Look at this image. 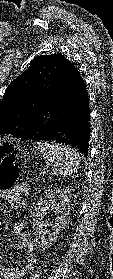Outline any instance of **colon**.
<instances>
[{
	"label": "colon",
	"mask_w": 113,
	"mask_h": 279,
	"mask_svg": "<svg viewBox=\"0 0 113 279\" xmlns=\"http://www.w3.org/2000/svg\"><path fill=\"white\" fill-rule=\"evenodd\" d=\"M15 147L10 144L0 146V190L14 193L20 187V168L15 161Z\"/></svg>",
	"instance_id": "obj_1"
}]
</instances>
